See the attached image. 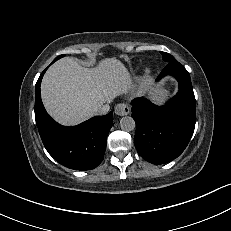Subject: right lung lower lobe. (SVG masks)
<instances>
[{
  "label": "right lung lower lobe",
  "instance_id": "98d812e1",
  "mask_svg": "<svg viewBox=\"0 0 231 231\" xmlns=\"http://www.w3.org/2000/svg\"><path fill=\"white\" fill-rule=\"evenodd\" d=\"M46 70L35 87V119L42 142L48 153L63 166L75 170L94 169L104 157L107 135L113 125L112 112L75 127L56 123L47 114L40 95V84Z\"/></svg>",
  "mask_w": 231,
  "mask_h": 231
}]
</instances>
